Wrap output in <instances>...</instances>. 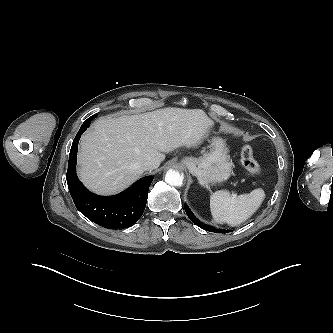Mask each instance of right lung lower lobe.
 Instances as JSON below:
<instances>
[{
  "label": "right lung lower lobe",
  "mask_w": 333,
  "mask_h": 333,
  "mask_svg": "<svg viewBox=\"0 0 333 333\" xmlns=\"http://www.w3.org/2000/svg\"><path fill=\"white\" fill-rule=\"evenodd\" d=\"M98 114L89 117L79 129L70 150L67 184L77 209L88 219L109 229L128 228L143 214L152 176L139 179L125 191L114 196H99L89 192L76 175L78 142L82 133Z\"/></svg>",
  "instance_id": "98d812e1"
}]
</instances>
